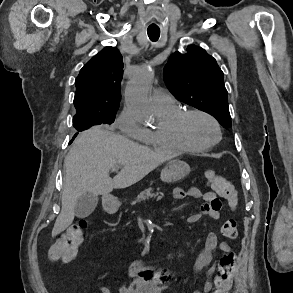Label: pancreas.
<instances>
[{"instance_id":"pancreas-1","label":"pancreas","mask_w":293,"mask_h":293,"mask_svg":"<svg viewBox=\"0 0 293 293\" xmlns=\"http://www.w3.org/2000/svg\"><path fill=\"white\" fill-rule=\"evenodd\" d=\"M157 190H159V189H157ZM155 197L162 198L163 193H159V192L154 193L153 189L150 187V188L145 189L143 192H141L137 196V198L134 201H132L131 205H135L136 203H140L142 201L149 200V199L155 198Z\"/></svg>"}]
</instances>
